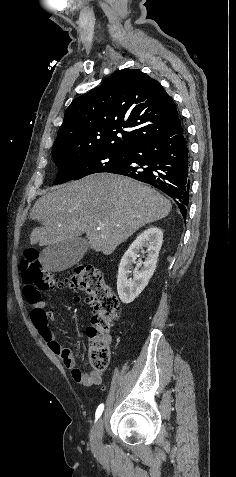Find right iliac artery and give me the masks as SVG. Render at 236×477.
Wrapping results in <instances>:
<instances>
[{
    "instance_id": "1",
    "label": "right iliac artery",
    "mask_w": 236,
    "mask_h": 477,
    "mask_svg": "<svg viewBox=\"0 0 236 477\" xmlns=\"http://www.w3.org/2000/svg\"><path fill=\"white\" fill-rule=\"evenodd\" d=\"M103 410H104V404H100L96 410V413H95V418L96 420H98L100 418V416L102 415L103 413Z\"/></svg>"
}]
</instances>
